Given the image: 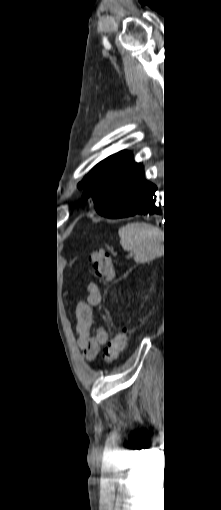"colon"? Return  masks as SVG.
Masks as SVG:
<instances>
[{
  "label": "colon",
  "instance_id": "obj_1",
  "mask_svg": "<svg viewBox=\"0 0 221 510\" xmlns=\"http://www.w3.org/2000/svg\"><path fill=\"white\" fill-rule=\"evenodd\" d=\"M89 261L94 275L100 279H111L113 277V263L110 255L97 250L89 255ZM128 342V332L122 331L111 338L105 350V360L115 361L125 350Z\"/></svg>",
  "mask_w": 221,
  "mask_h": 510
}]
</instances>
